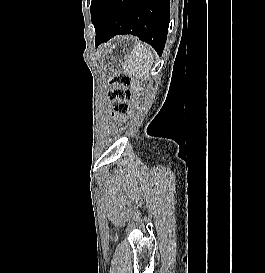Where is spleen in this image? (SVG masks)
Masks as SVG:
<instances>
[{"label":"spleen","instance_id":"3e777b00","mask_svg":"<svg viewBox=\"0 0 265 273\" xmlns=\"http://www.w3.org/2000/svg\"><path fill=\"white\" fill-rule=\"evenodd\" d=\"M128 71L132 75L149 79L150 69L153 63V54L150 46L138 43L130 53Z\"/></svg>","mask_w":265,"mask_h":273}]
</instances>
